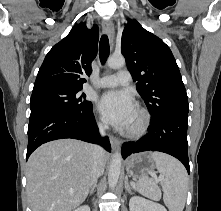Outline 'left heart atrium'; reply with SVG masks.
I'll use <instances>...</instances> for the list:
<instances>
[{
    "label": "left heart atrium",
    "instance_id": "left-heart-atrium-1",
    "mask_svg": "<svg viewBox=\"0 0 221 211\" xmlns=\"http://www.w3.org/2000/svg\"><path fill=\"white\" fill-rule=\"evenodd\" d=\"M97 107L103 117L118 128H127L134 113L135 103L125 91H109L98 100Z\"/></svg>",
    "mask_w": 221,
    "mask_h": 211
}]
</instances>
